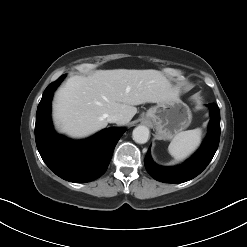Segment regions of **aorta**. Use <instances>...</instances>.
<instances>
[{
	"label": "aorta",
	"mask_w": 247,
	"mask_h": 247,
	"mask_svg": "<svg viewBox=\"0 0 247 247\" xmlns=\"http://www.w3.org/2000/svg\"><path fill=\"white\" fill-rule=\"evenodd\" d=\"M149 129L146 126H138L133 130V140L138 144H144L149 140Z\"/></svg>",
	"instance_id": "1"
}]
</instances>
